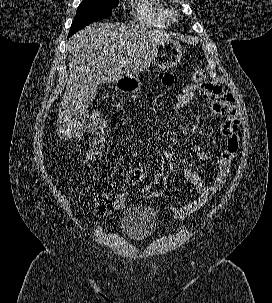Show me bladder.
I'll list each match as a JSON object with an SVG mask.
<instances>
[{
    "label": "bladder",
    "instance_id": "1",
    "mask_svg": "<svg viewBox=\"0 0 272 303\" xmlns=\"http://www.w3.org/2000/svg\"><path fill=\"white\" fill-rule=\"evenodd\" d=\"M158 226L156 213L147 206H132L121 218V228L133 240H142L152 235Z\"/></svg>",
    "mask_w": 272,
    "mask_h": 303
}]
</instances>
